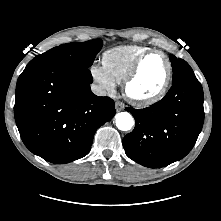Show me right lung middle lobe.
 Masks as SVG:
<instances>
[{
    "label": "right lung middle lobe",
    "mask_w": 221,
    "mask_h": 221,
    "mask_svg": "<svg viewBox=\"0 0 221 221\" xmlns=\"http://www.w3.org/2000/svg\"><path fill=\"white\" fill-rule=\"evenodd\" d=\"M102 46L100 39L62 44L37 55L29 63H65L89 68Z\"/></svg>",
    "instance_id": "dd1d6c3e"
}]
</instances>
